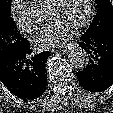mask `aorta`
Wrapping results in <instances>:
<instances>
[{"instance_id": "obj_1", "label": "aorta", "mask_w": 113, "mask_h": 113, "mask_svg": "<svg viewBox=\"0 0 113 113\" xmlns=\"http://www.w3.org/2000/svg\"><path fill=\"white\" fill-rule=\"evenodd\" d=\"M68 57L75 68L84 69L89 63L87 52L76 44L70 47Z\"/></svg>"}]
</instances>
